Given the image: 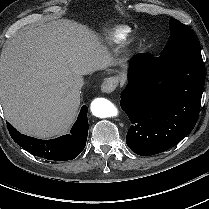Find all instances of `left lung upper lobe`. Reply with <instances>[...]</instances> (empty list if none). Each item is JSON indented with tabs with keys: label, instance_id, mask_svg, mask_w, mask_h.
I'll return each instance as SVG.
<instances>
[{
	"label": "left lung upper lobe",
	"instance_id": "1",
	"mask_svg": "<svg viewBox=\"0 0 209 209\" xmlns=\"http://www.w3.org/2000/svg\"><path fill=\"white\" fill-rule=\"evenodd\" d=\"M170 31L169 40L160 56H170L194 47H199V42L191 28L174 18L170 19Z\"/></svg>",
	"mask_w": 209,
	"mask_h": 209
}]
</instances>
